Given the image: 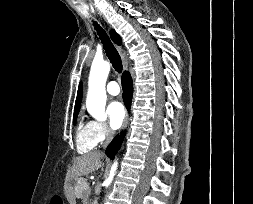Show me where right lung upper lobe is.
Instances as JSON below:
<instances>
[{
    "label": "right lung upper lobe",
    "instance_id": "cb5924a9",
    "mask_svg": "<svg viewBox=\"0 0 253 204\" xmlns=\"http://www.w3.org/2000/svg\"><path fill=\"white\" fill-rule=\"evenodd\" d=\"M110 36H111V39L116 44H118V45L121 44V38L114 30L110 31ZM81 100H82V83H80L79 87H78V93H77V98H76V102H75L74 115H78V112L80 110Z\"/></svg>",
    "mask_w": 253,
    "mask_h": 204
}]
</instances>
